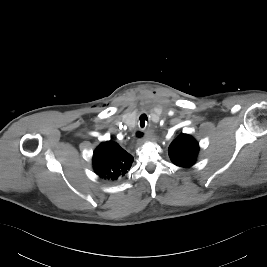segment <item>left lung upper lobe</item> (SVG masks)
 <instances>
[{
    "instance_id": "1",
    "label": "left lung upper lobe",
    "mask_w": 267,
    "mask_h": 267,
    "mask_svg": "<svg viewBox=\"0 0 267 267\" xmlns=\"http://www.w3.org/2000/svg\"><path fill=\"white\" fill-rule=\"evenodd\" d=\"M198 151L199 145L195 139L182 133L170 144L168 154L176 166L189 168L195 164Z\"/></svg>"
}]
</instances>
